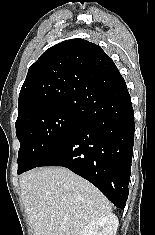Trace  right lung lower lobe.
Segmentation results:
<instances>
[{"mask_svg": "<svg viewBox=\"0 0 155 235\" xmlns=\"http://www.w3.org/2000/svg\"><path fill=\"white\" fill-rule=\"evenodd\" d=\"M78 113L83 124L36 167H66L123 209L134 144V112L123 77L95 87Z\"/></svg>", "mask_w": 155, "mask_h": 235, "instance_id": "1", "label": "right lung lower lobe"}]
</instances>
